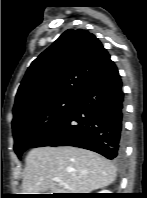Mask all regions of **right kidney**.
<instances>
[{
    "mask_svg": "<svg viewBox=\"0 0 147 198\" xmlns=\"http://www.w3.org/2000/svg\"><path fill=\"white\" fill-rule=\"evenodd\" d=\"M111 191H107V190H103V191H100L99 193H110Z\"/></svg>",
    "mask_w": 147,
    "mask_h": 198,
    "instance_id": "obj_1",
    "label": "right kidney"
}]
</instances>
